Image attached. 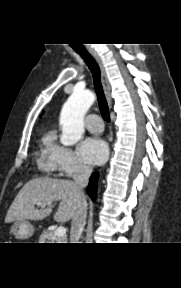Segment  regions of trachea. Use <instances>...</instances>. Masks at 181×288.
Listing matches in <instances>:
<instances>
[{"label": "trachea", "instance_id": "trachea-1", "mask_svg": "<svg viewBox=\"0 0 181 288\" xmlns=\"http://www.w3.org/2000/svg\"><path fill=\"white\" fill-rule=\"evenodd\" d=\"M75 51L82 57V59L84 60V62L86 63V65L88 66V68L92 73L101 115L106 122H110L108 104L105 99V95L101 85L99 66L95 61V59L85 48H76Z\"/></svg>", "mask_w": 181, "mask_h": 288}]
</instances>
